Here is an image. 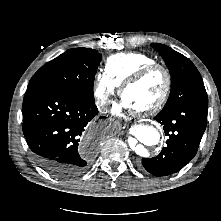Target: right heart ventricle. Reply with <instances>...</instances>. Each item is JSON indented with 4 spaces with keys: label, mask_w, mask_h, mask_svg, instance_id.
I'll list each match as a JSON object with an SVG mask.
<instances>
[{
    "label": "right heart ventricle",
    "mask_w": 221,
    "mask_h": 221,
    "mask_svg": "<svg viewBox=\"0 0 221 221\" xmlns=\"http://www.w3.org/2000/svg\"><path fill=\"white\" fill-rule=\"evenodd\" d=\"M152 63H156L155 58L146 53H118L107 59L105 71L120 86L140 68Z\"/></svg>",
    "instance_id": "e07e8e85"
}]
</instances>
